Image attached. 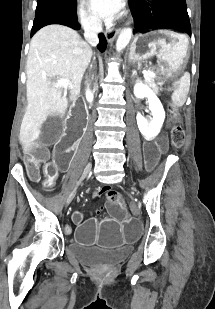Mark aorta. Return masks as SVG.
I'll use <instances>...</instances> for the list:
<instances>
[{"label":"aorta","instance_id":"aorta-1","mask_svg":"<svg viewBox=\"0 0 215 309\" xmlns=\"http://www.w3.org/2000/svg\"><path fill=\"white\" fill-rule=\"evenodd\" d=\"M131 36L132 28H123V30H121L116 42V50H118V52L127 46Z\"/></svg>","mask_w":215,"mask_h":309}]
</instances>
